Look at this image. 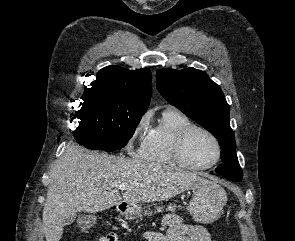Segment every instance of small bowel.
<instances>
[{"label":"small bowel","instance_id":"obj_1","mask_svg":"<svg viewBox=\"0 0 295 241\" xmlns=\"http://www.w3.org/2000/svg\"><path fill=\"white\" fill-rule=\"evenodd\" d=\"M167 227L165 234L158 232H145L144 237L148 241H210L208 231L202 226L185 224L176 214H167L163 218ZM101 237L100 241H118L114 233Z\"/></svg>","mask_w":295,"mask_h":241}]
</instances>
